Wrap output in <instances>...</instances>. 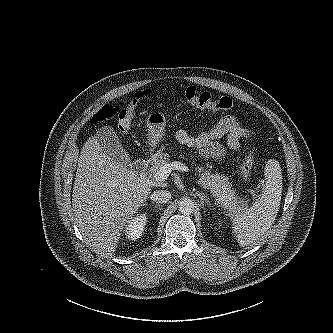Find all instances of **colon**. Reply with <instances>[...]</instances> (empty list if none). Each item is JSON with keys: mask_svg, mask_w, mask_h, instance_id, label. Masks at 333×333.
I'll use <instances>...</instances> for the list:
<instances>
[{"mask_svg": "<svg viewBox=\"0 0 333 333\" xmlns=\"http://www.w3.org/2000/svg\"><path fill=\"white\" fill-rule=\"evenodd\" d=\"M149 95V90L136 93L127 107L105 105L95 114L92 123L98 125L107 121L116 120L119 128L122 131H127L132 126L137 104ZM184 97L188 104L200 109L226 111L230 110L233 106L231 99L228 97H217L211 92L200 90L196 87H188L185 90ZM252 167L253 155L251 151H247L241 163V175L244 180L247 181L250 178Z\"/></svg>", "mask_w": 333, "mask_h": 333, "instance_id": "1", "label": "colon"}]
</instances>
